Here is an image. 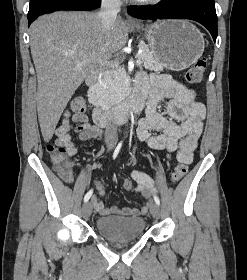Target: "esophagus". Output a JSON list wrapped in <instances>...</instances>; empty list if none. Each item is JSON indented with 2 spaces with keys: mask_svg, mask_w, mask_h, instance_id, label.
Wrapping results in <instances>:
<instances>
[{
  "mask_svg": "<svg viewBox=\"0 0 247 280\" xmlns=\"http://www.w3.org/2000/svg\"><path fill=\"white\" fill-rule=\"evenodd\" d=\"M127 23L129 24H136V20H134L133 18H131L130 16L127 17Z\"/></svg>",
  "mask_w": 247,
  "mask_h": 280,
  "instance_id": "obj_1",
  "label": "esophagus"
}]
</instances>
